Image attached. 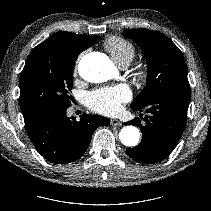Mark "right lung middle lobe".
<instances>
[{
  "label": "right lung middle lobe",
  "mask_w": 211,
  "mask_h": 211,
  "mask_svg": "<svg viewBox=\"0 0 211 211\" xmlns=\"http://www.w3.org/2000/svg\"><path fill=\"white\" fill-rule=\"evenodd\" d=\"M76 57L55 54L39 44L29 54L19 79V104L24 118L51 107L68 108Z\"/></svg>",
  "instance_id": "right-lung-middle-lobe-1"
}]
</instances>
